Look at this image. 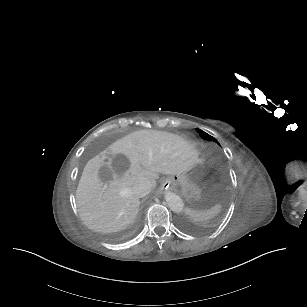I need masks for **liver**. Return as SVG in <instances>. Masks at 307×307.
<instances>
[{"label": "liver", "mask_w": 307, "mask_h": 307, "mask_svg": "<svg viewBox=\"0 0 307 307\" xmlns=\"http://www.w3.org/2000/svg\"><path fill=\"white\" fill-rule=\"evenodd\" d=\"M198 151L182 136L166 131H134L90 159L76 190L83 223L96 232L112 233L133 223L139 197L132 187L146 177L156 186L159 173L189 172L201 163Z\"/></svg>", "instance_id": "obj_1"}]
</instances>
